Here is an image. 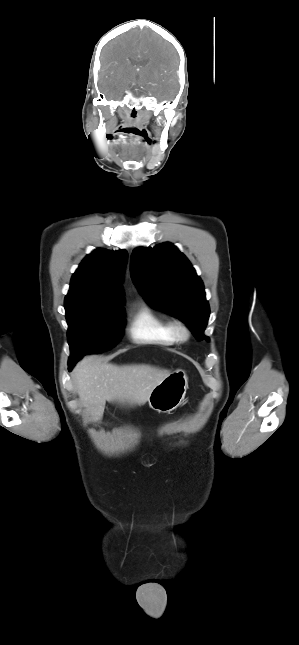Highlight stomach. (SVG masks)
I'll list each match as a JSON object with an SVG mask.
<instances>
[{
    "instance_id": "1",
    "label": "stomach",
    "mask_w": 299,
    "mask_h": 645,
    "mask_svg": "<svg viewBox=\"0 0 299 645\" xmlns=\"http://www.w3.org/2000/svg\"><path fill=\"white\" fill-rule=\"evenodd\" d=\"M187 388L186 372L176 370L153 388L148 397L149 406L158 412L170 413L182 403Z\"/></svg>"
}]
</instances>
